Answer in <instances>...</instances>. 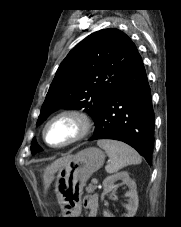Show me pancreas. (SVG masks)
Returning <instances> with one entry per match:
<instances>
[{
	"label": "pancreas",
	"mask_w": 181,
	"mask_h": 227,
	"mask_svg": "<svg viewBox=\"0 0 181 227\" xmlns=\"http://www.w3.org/2000/svg\"><path fill=\"white\" fill-rule=\"evenodd\" d=\"M97 189V186L93 183L89 184V186L86 187V192L88 193H94V191Z\"/></svg>",
	"instance_id": "pancreas-1"
}]
</instances>
